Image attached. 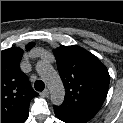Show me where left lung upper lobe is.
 Returning a JSON list of instances; mask_svg holds the SVG:
<instances>
[{
  "mask_svg": "<svg viewBox=\"0 0 123 123\" xmlns=\"http://www.w3.org/2000/svg\"><path fill=\"white\" fill-rule=\"evenodd\" d=\"M54 55L66 89L63 104L54 106L55 115L70 123L88 122L107 96L110 83L107 68L79 46H61L54 50Z\"/></svg>",
  "mask_w": 123,
  "mask_h": 123,
  "instance_id": "left-lung-upper-lobe-1",
  "label": "left lung upper lobe"
}]
</instances>
